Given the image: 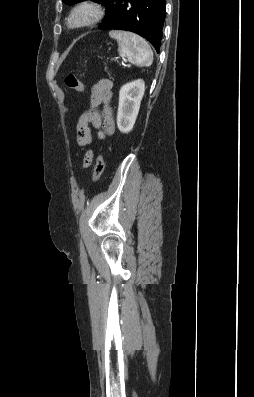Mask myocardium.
<instances>
[{"label": "myocardium", "mask_w": 254, "mask_h": 397, "mask_svg": "<svg viewBox=\"0 0 254 397\" xmlns=\"http://www.w3.org/2000/svg\"><path fill=\"white\" fill-rule=\"evenodd\" d=\"M104 16L102 6L93 1H82L72 7L65 19L68 30H76L98 23Z\"/></svg>", "instance_id": "f54148a6"}]
</instances>
